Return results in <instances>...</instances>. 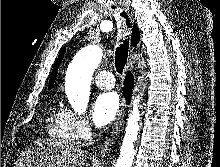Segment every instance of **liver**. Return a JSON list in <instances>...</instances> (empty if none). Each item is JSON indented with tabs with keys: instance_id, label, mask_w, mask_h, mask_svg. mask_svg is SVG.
Returning <instances> with one entry per match:
<instances>
[{
	"instance_id": "6515ba94",
	"label": "liver",
	"mask_w": 220,
	"mask_h": 167,
	"mask_svg": "<svg viewBox=\"0 0 220 167\" xmlns=\"http://www.w3.org/2000/svg\"><path fill=\"white\" fill-rule=\"evenodd\" d=\"M87 153L51 139H37L22 151L14 167H83Z\"/></svg>"
}]
</instances>
